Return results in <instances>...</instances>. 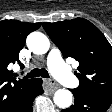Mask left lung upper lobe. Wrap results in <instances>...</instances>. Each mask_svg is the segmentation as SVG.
I'll return each instance as SVG.
<instances>
[{"label":"left lung upper lobe","mask_w":112,"mask_h":112,"mask_svg":"<svg viewBox=\"0 0 112 112\" xmlns=\"http://www.w3.org/2000/svg\"><path fill=\"white\" fill-rule=\"evenodd\" d=\"M43 28L65 58L79 61L75 75L82 95L112 99V46L102 32L83 18L43 23Z\"/></svg>","instance_id":"obj_1"}]
</instances>
